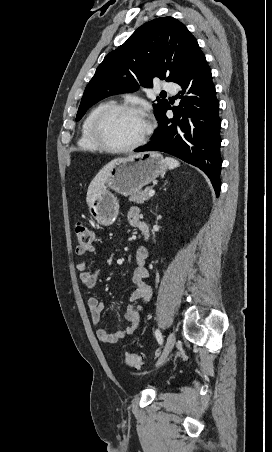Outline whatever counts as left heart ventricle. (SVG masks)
Listing matches in <instances>:
<instances>
[{
	"mask_svg": "<svg viewBox=\"0 0 272 452\" xmlns=\"http://www.w3.org/2000/svg\"><path fill=\"white\" fill-rule=\"evenodd\" d=\"M106 138L114 145H128L136 141L145 129L142 115L129 111L110 113L103 122Z\"/></svg>",
	"mask_w": 272,
	"mask_h": 452,
	"instance_id": "obj_1",
	"label": "left heart ventricle"
}]
</instances>
